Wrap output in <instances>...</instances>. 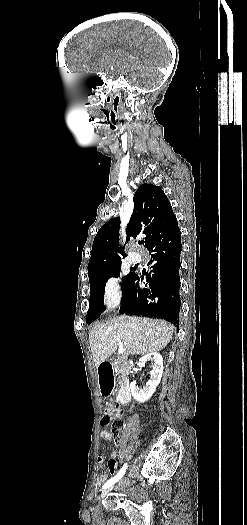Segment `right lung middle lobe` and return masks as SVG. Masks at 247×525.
<instances>
[{"label":"right lung middle lobe","instance_id":"obj_1","mask_svg":"<svg viewBox=\"0 0 247 525\" xmlns=\"http://www.w3.org/2000/svg\"><path fill=\"white\" fill-rule=\"evenodd\" d=\"M120 268L113 269L110 271L100 272V273H94L89 274V282H90V301H89V310L87 313L86 321L87 323H91L96 318H98L101 313L104 311V290H105V284L106 281L111 277H119L120 276ZM134 273H130L124 278H122V290L123 295L130 284L132 278L134 277Z\"/></svg>","mask_w":247,"mask_h":525}]
</instances>
